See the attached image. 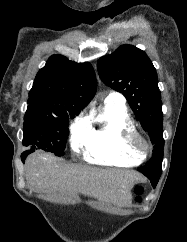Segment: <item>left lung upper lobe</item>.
Here are the masks:
<instances>
[{
	"label": "left lung upper lobe",
	"mask_w": 187,
	"mask_h": 242,
	"mask_svg": "<svg viewBox=\"0 0 187 242\" xmlns=\"http://www.w3.org/2000/svg\"><path fill=\"white\" fill-rule=\"evenodd\" d=\"M101 80L128 100L154 145L152 158L138 168L146 175L160 176L163 160V113L156 69L146 53L132 45H122L98 60Z\"/></svg>",
	"instance_id": "left-lung-upper-lobe-1"
}]
</instances>
